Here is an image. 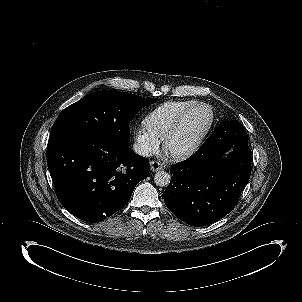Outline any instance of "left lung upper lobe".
Segmentation results:
<instances>
[{
  "label": "left lung upper lobe",
  "mask_w": 302,
  "mask_h": 302,
  "mask_svg": "<svg viewBox=\"0 0 302 302\" xmlns=\"http://www.w3.org/2000/svg\"><path fill=\"white\" fill-rule=\"evenodd\" d=\"M248 140L244 126L237 120H230L219 125L203 145H212L215 149L227 151L248 145Z\"/></svg>",
  "instance_id": "obj_1"
}]
</instances>
